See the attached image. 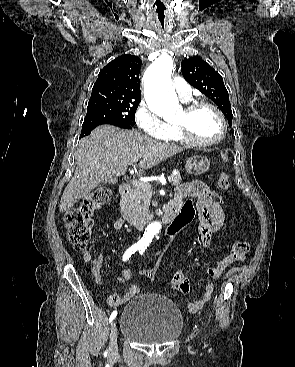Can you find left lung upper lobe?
Segmentation results:
<instances>
[{
  "label": "left lung upper lobe",
  "instance_id": "1",
  "mask_svg": "<svg viewBox=\"0 0 295 367\" xmlns=\"http://www.w3.org/2000/svg\"><path fill=\"white\" fill-rule=\"evenodd\" d=\"M181 67L186 81L209 97L220 108L231 126L233 115L222 76L199 57L185 58Z\"/></svg>",
  "mask_w": 295,
  "mask_h": 367
}]
</instances>
